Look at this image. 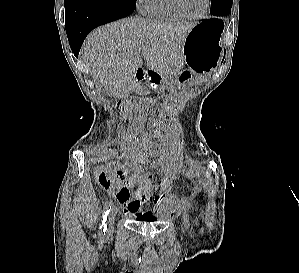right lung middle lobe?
I'll list each match as a JSON object with an SVG mask.
<instances>
[{"mask_svg":"<svg viewBox=\"0 0 299 273\" xmlns=\"http://www.w3.org/2000/svg\"><path fill=\"white\" fill-rule=\"evenodd\" d=\"M128 1H136V0H128Z\"/></svg>","mask_w":299,"mask_h":273,"instance_id":"1","label":"right lung middle lobe"}]
</instances>
